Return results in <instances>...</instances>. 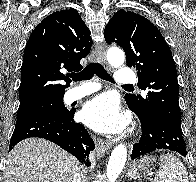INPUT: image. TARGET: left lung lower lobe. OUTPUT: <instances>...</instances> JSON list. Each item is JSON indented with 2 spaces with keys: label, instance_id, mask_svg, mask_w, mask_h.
<instances>
[{
  "label": "left lung lower lobe",
  "instance_id": "obj_1",
  "mask_svg": "<svg viewBox=\"0 0 196 182\" xmlns=\"http://www.w3.org/2000/svg\"><path fill=\"white\" fill-rule=\"evenodd\" d=\"M128 105L138 116L142 126V136L139 143L133 147L131 159L157 149H168L182 156L187 155L181 125L157 112L138 113L130 104Z\"/></svg>",
  "mask_w": 196,
  "mask_h": 182
}]
</instances>
